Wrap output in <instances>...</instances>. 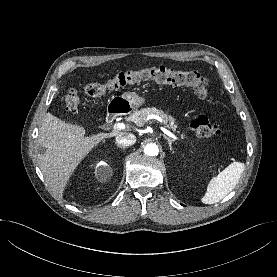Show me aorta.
Wrapping results in <instances>:
<instances>
[{
	"label": "aorta",
	"instance_id": "1",
	"mask_svg": "<svg viewBox=\"0 0 277 277\" xmlns=\"http://www.w3.org/2000/svg\"><path fill=\"white\" fill-rule=\"evenodd\" d=\"M158 146L156 144H147L144 148V153L148 156L158 155Z\"/></svg>",
	"mask_w": 277,
	"mask_h": 277
}]
</instances>
